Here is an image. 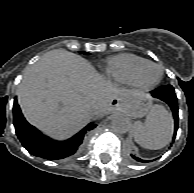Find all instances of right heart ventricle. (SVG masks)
<instances>
[{"label":"right heart ventricle","instance_id":"1","mask_svg":"<svg viewBox=\"0 0 194 193\" xmlns=\"http://www.w3.org/2000/svg\"><path fill=\"white\" fill-rule=\"evenodd\" d=\"M148 60L129 53L111 56L107 59L103 73L119 84H134L137 68Z\"/></svg>","mask_w":194,"mask_h":193}]
</instances>
